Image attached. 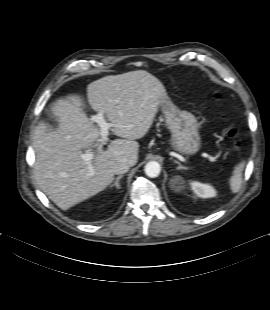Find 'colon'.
I'll use <instances>...</instances> for the list:
<instances>
[{"instance_id":"obj_1","label":"colon","mask_w":270,"mask_h":310,"mask_svg":"<svg viewBox=\"0 0 270 310\" xmlns=\"http://www.w3.org/2000/svg\"><path fill=\"white\" fill-rule=\"evenodd\" d=\"M227 137L229 140L232 142L233 146L237 149L240 150L243 146V137L240 134V132L234 128V127H229L226 131Z\"/></svg>"}]
</instances>
